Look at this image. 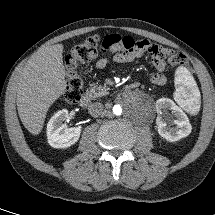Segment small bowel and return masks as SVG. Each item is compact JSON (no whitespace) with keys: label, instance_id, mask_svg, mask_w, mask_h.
I'll return each mask as SVG.
<instances>
[{"label":"small bowel","instance_id":"obj_1","mask_svg":"<svg viewBox=\"0 0 215 215\" xmlns=\"http://www.w3.org/2000/svg\"><path fill=\"white\" fill-rule=\"evenodd\" d=\"M165 48L153 44L150 41L134 40L130 36H121L118 34L107 35L103 39V51H108L111 59L116 63H128L149 54L152 59L156 72L151 77V82L155 85H164L166 77L164 75L166 67ZM109 63V58L103 56L95 62L96 69H103Z\"/></svg>","mask_w":215,"mask_h":215}]
</instances>
